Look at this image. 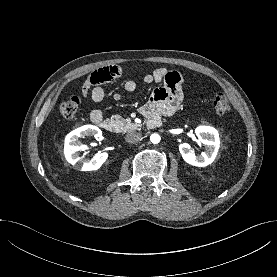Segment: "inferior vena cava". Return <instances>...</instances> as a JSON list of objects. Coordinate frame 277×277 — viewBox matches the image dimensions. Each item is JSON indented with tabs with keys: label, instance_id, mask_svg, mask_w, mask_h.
Segmentation results:
<instances>
[{
	"label": "inferior vena cava",
	"instance_id": "obj_1",
	"mask_svg": "<svg viewBox=\"0 0 277 277\" xmlns=\"http://www.w3.org/2000/svg\"><path fill=\"white\" fill-rule=\"evenodd\" d=\"M142 138V135L138 132H131V133H128L125 137V140L126 142L128 143H131V144H134V143H137L141 140Z\"/></svg>",
	"mask_w": 277,
	"mask_h": 277
}]
</instances>
